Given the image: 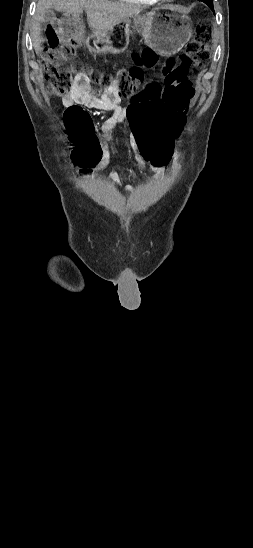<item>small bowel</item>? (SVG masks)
I'll return each instance as SVG.
<instances>
[{"mask_svg": "<svg viewBox=\"0 0 253 548\" xmlns=\"http://www.w3.org/2000/svg\"><path fill=\"white\" fill-rule=\"evenodd\" d=\"M150 62H155L153 59ZM149 62V63H150ZM125 69H121L120 74L125 73ZM170 97V96H169ZM120 95L118 92V85L115 82L111 87L107 88L104 92L99 93L89 85L88 78L84 73H77L74 78V83L71 91L64 96L63 104L67 107L72 105H81L89 109H97L101 111L109 112L110 117L103 123L102 132L105 138V144L101 148L100 157L96 162L92 164V168L101 169L106 167L112 160V150L110 148V142L112 140L113 132L126 122L128 113V107L123 108L119 105ZM128 135L130 145L133 149V159L140 168L150 166L154 171V179L159 180L164 172V166H152L149 159H143L140 156V151L137 147L138 140L133 137V133H130L128 128ZM171 157L174 159L173 167L177 168L179 165L180 153L174 150L172 144ZM109 180L111 183L118 187H122L120 175L117 172H111L109 174ZM125 191H132L131 186H125Z\"/></svg>", "mask_w": 253, "mask_h": 548, "instance_id": "small-bowel-1", "label": "small bowel"}]
</instances>
